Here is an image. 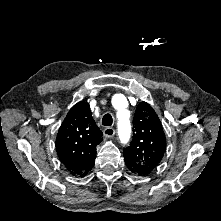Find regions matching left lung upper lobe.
<instances>
[{
	"label": "left lung upper lobe",
	"instance_id": "1",
	"mask_svg": "<svg viewBox=\"0 0 221 221\" xmlns=\"http://www.w3.org/2000/svg\"><path fill=\"white\" fill-rule=\"evenodd\" d=\"M133 139L124 150V156L138 164L145 173L153 170L162 160L166 138L159 117L146 102H140L133 119Z\"/></svg>",
	"mask_w": 221,
	"mask_h": 221
}]
</instances>
